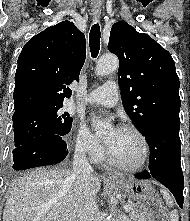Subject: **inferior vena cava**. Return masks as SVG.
I'll use <instances>...</instances> for the list:
<instances>
[{
    "label": "inferior vena cava",
    "instance_id": "1",
    "mask_svg": "<svg viewBox=\"0 0 190 221\" xmlns=\"http://www.w3.org/2000/svg\"><path fill=\"white\" fill-rule=\"evenodd\" d=\"M85 153V147L78 143L74 153L72 173L74 187L79 194L77 221H99V210L91 185L93 169Z\"/></svg>",
    "mask_w": 190,
    "mask_h": 221
}]
</instances>
